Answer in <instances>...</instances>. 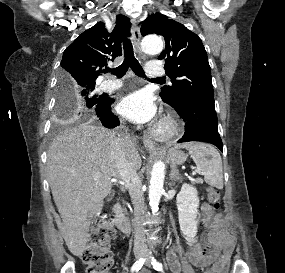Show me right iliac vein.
Returning a JSON list of instances; mask_svg holds the SVG:
<instances>
[{
	"label": "right iliac vein",
	"instance_id": "1",
	"mask_svg": "<svg viewBox=\"0 0 285 273\" xmlns=\"http://www.w3.org/2000/svg\"><path fill=\"white\" fill-rule=\"evenodd\" d=\"M135 257H136L137 259H140V258L143 257V254H142V253H136V254H135Z\"/></svg>",
	"mask_w": 285,
	"mask_h": 273
}]
</instances>
